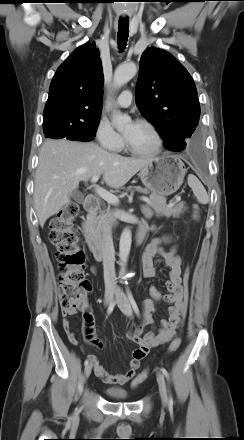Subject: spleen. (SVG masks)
Returning a JSON list of instances; mask_svg holds the SVG:
<instances>
[{"label":"spleen","mask_w":244,"mask_h":440,"mask_svg":"<svg viewBox=\"0 0 244 440\" xmlns=\"http://www.w3.org/2000/svg\"><path fill=\"white\" fill-rule=\"evenodd\" d=\"M187 182L197 201L201 204H207L209 202V196L198 178L193 174H189Z\"/></svg>","instance_id":"obj_1"}]
</instances>
